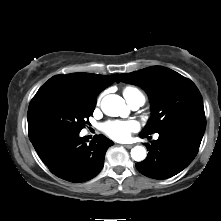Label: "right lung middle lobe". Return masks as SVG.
I'll return each instance as SVG.
<instances>
[{
    "label": "right lung middle lobe",
    "mask_w": 221,
    "mask_h": 221,
    "mask_svg": "<svg viewBox=\"0 0 221 221\" xmlns=\"http://www.w3.org/2000/svg\"><path fill=\"white\" fill-rule=\"evenodd\" d=\"M95 105L96 101L67 89L40 88L28 109L29 136L43 132L79 133L89 124Z\"/></svg>",
    "instance_id": "1"
}]
</instances>
